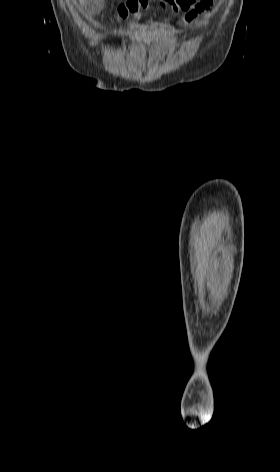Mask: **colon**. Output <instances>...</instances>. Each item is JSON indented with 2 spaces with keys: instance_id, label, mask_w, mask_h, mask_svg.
Instances as JSON below:
<instances>
[{
  "instance_id": "5ec220e1",
  "label": "colon",
  "mask_w": 280,
  "mask_h": 472,
  "mask_svg": "<svg viewBox=\"0 0 280 472\" xmlns=\"http://www.w3.org/2000/svg\"><path fill=\"white\" fill-rule=\"evenodd\" d=\"M181 0H127L121 3L115 13V19L121 21L138 20L142 13L148 10L152 5L161 8L175 7Z\"/></svg>"
}]
</instances>
